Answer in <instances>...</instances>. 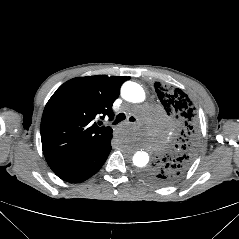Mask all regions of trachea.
<instances>
[{
	"label": "trachea",
	"mask_w": 239,
	"mask_h": 239,
	"mask_svg": "<svg viewBox=\"0 0 239 239\" xmlns=\"http://www.w3.org/2000/svg\"><path fill=\"white\" fill-rule=\"evenodd\" d=\"M125 118H126L125 114L120 113V114H118V115L116 116V119H115V121L113 122V124H118L119 122L125 120ZM129 120H130V121H135V118H134V117H130Z\"/></svg>",
	"instance_id": "trachea-1"
}]
</instances>
